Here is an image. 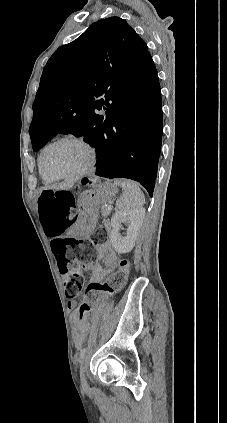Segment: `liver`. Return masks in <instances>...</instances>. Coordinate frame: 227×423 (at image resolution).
<instances>
[{"label": "liver", "instance_id": "6515ba94", "mask_svg": "<svg viewBox=\"0 0 227 423\" xmlns=\"http://www.w3.org/2000/svg\"><path fill=\"white\" fill-rule=\"evenodd\" d=\"M50 190H69L72 188V184L70 182H61V184H52V186H48Z\"/></svg>", "mask_w": 227, "mask_h": 423}]
</instances>
